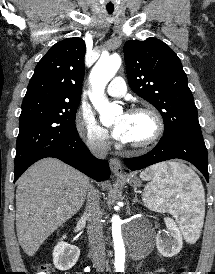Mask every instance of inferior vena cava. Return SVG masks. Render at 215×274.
<instances>
[{
  "instance_id": "inferior-vena-cava-1",
  "label": "inferior vena cava",
  "mask_w": 215,
  "mask_h": 274,
  "mask_svg": "<svg viewBox=\"0 0 215 274\" xmlns=\"http://www.w3.org/2000/svg\"><path fill=\"white\" fill-rule=\"evenodd\" d=\"M91 152L98 158L104 159L109 145L104 138H93L89 142ZM99 192L90 186L87 193V207L84 217L88 220V238L94 267L99 271L106 266L105 242L103 224L99 206Z\"/></svg>"
}]
</instances>
